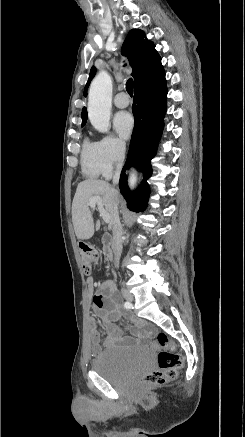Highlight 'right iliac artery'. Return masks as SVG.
Here are the masks:
<instances>
[{"instance_id": "1", "label": "right iliac artery", "mask_w": 245, "mask_h": 437, "mask_svg": "<svg viewBox=\"0 0 245 437\" xmlns=\"http://www.w3.org/2000/svg\"><path fill=\"white\" fill-rule=\"evenodd\" d=\"M124 307H125V308H130V307H131V304H130L129 302H125V303H124Z\"/></svg>"}]
</instances>
